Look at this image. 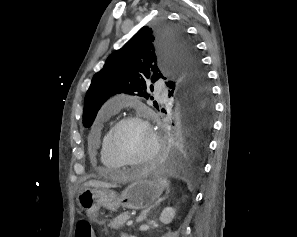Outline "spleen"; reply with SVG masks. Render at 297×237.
I'll return each instance as SVG.
<instances>
[{"instance_id":"obj_1","label":"spleen","mask_w":297,"mask_h":237,"mask_svg":"<svg viewBox=\"0 0 297 237\" xmlns=\"http://www.w3.org/2000/svg\"><path fill=\"white\" fill-rule=\"evenodd\" d=\"M161 182L165 187L169 186V182L166 179H162Z\"/></svg>"}]
</instances>
